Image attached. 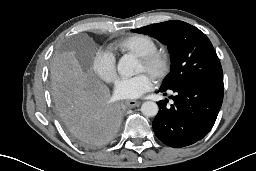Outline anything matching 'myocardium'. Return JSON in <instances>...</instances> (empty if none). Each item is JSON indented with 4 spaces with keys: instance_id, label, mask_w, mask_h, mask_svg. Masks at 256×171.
I'll return each instance as SVG.
<instances>
[{
    "instance_id": "f54148a6",
    "label": "myocardium",
    "mask_w": 256,
    "mask_h": 171,
    "mask_svg": "<svg viewBox=\"0 0 256 171\" xmlns=\"http://www.w3.org/2000/svg\"><path fill=\"white\" fill-rule=\"evenodd\" d=\"M138 57L144 64L146 72L155 81H161L170 70V58L168 53L164 50L156 49Z\"/></svg>"
}]
</instances>
